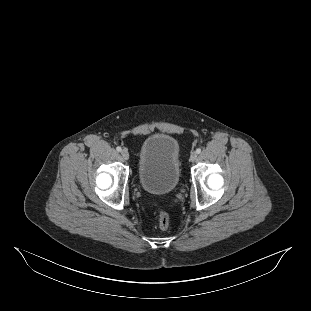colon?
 Masks as SVG:
<instances>
[{
    "instance_id": "5ec220e1",
    "label": "colon",
    "mask_w": 311,
    "mask_h": 311,
    "mask_svg": "<svg viewBox=\"0 0 311 311\" xmlns=\"http://www.w3.org/2000/svg\"><path fill=\"white\" fill-rule=\"evenodd\" d=\"M155 217L160 229L164 230L169 225V214L163 209H157L155 211Z\"/></svg>"
}]
</instances>
